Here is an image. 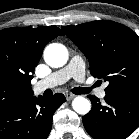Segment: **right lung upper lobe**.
<instances>
[{
  "label": "right lung upper lobe",
  "mask_w": 139,
  "mask_h": 139,
  "mask_svg": "<svg viewBox=\"0 0 139 139\" xmlns=\"http://www.w3.org/2000/svg\"><path fill=\"white\" fill-rule=\"evenodd\" d=\"M56 26L13 27L0 31V66L8 69L21 87L22 99L33 96L31 79L45 45L63 36Z\"/></svg>",
  "instance_id": "cb5924a9"
}]
</instances>
